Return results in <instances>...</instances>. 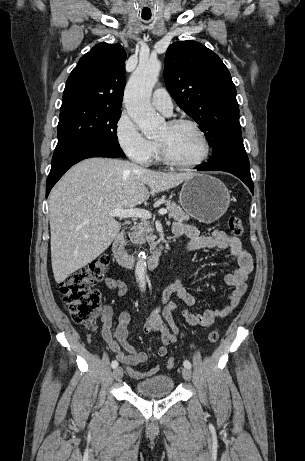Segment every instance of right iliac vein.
<instances>
[{"mask_svg":"<svg viewBox=\"0 0 305 461\" xmlns=\"http://www.w3.org/2000/svg\"><path fill=\"white\" fill-rule=\"evenodd\" d=\"M113 376L115 380H120L123 376V369L121 367H117L113 371Z\"/></svg>","mask_w":305,"mask_h":461,"instance_id":"1","label":"right iliac vein"}]
</instances>
